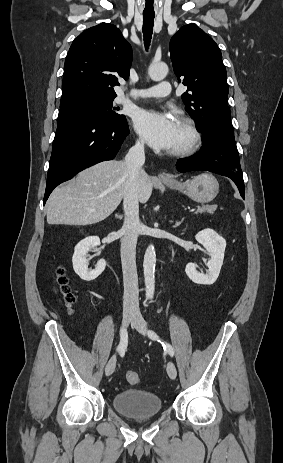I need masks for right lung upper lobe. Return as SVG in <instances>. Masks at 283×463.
I'll return each instance as SVG.
<instances>
[{
    "instance_id": "obj_1",
    "label": "right lung upper lobe",
    "mask_w": 283,
    "mask_h": 463,
    "mask_svg": "<svg viewBox=\"0 0 283 463\" xmlns=\"http://www.w3.org/2000/svg\"><path fill=\"white\" fill-rule=\"evenodd\" d=\"M132 49L121 31L101 23L72 43L64 65L60 108L94 97H115L118 77L127 79Z\"/></svg>"
}]
</instances>
